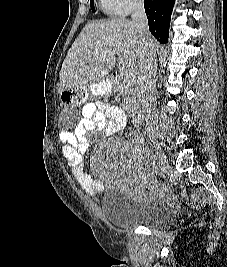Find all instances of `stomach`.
<instances>
[{
    "label": "stomach",
    "instance_id": "1",
    "mask_svg": "<svg viewBox=\"0 0 227 267\" xmlns=\"http://www.w3.org/2000/svg\"><path fill=\"white\" fill-rule=\"evenodd\" d=\"M105 90V91H104ZM113 90L112 85H86L85 87H63L59 91L57 101L61 104H72V106H83L90 94H108Z\"/></svg>",
    "mask_w": 227,
    "mask_h": 267
}]
</instances>
